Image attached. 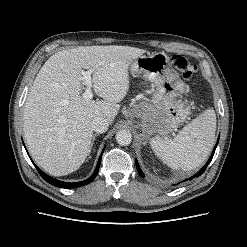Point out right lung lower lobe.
Returning a JSON list of instances; mask_svg holds the SVG:
<instances>
[{"instance_id":"1","label":"right lung lower lobe","mask_w":247,"mask_h":247,"mask_svg":"<svg viewBox=\"0 0 247 247\" xmlns=\"http://www.w3.org/2000/svg\"><path fill=\"white\" fill-rule=\"evenodd\" d=\"M101 158H102V154L100 155V158H99V161H98V164H97V167L95 169L94 174L89 179L81 181V182H75V183H67V182L56 180V179L48 176L47 174H45L37 166H35V167H36L37 171L40 173V175L42 176V178L44 180H46L48 183H50L51 185H54V186H57L60 188H76V187L84 186V185H86V184H88L94 180V178L96 177L98 170H99Z\"/></svg>"}]
</instances>
